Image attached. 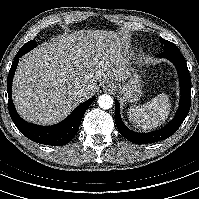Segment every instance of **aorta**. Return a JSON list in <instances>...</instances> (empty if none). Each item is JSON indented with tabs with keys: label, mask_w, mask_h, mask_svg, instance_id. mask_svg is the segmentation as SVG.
Returning <instances> with one entry per match:
<instances>
[{
	"label": "aorta",
	"mask_w": 199,
	"mask_h": 199,
	"mask_svg": "<svg viewBox=\"0 0 199 199\" xmlns=\"http://www.w3.org/2000/svg\"><path fill=\"white\" fill-rule=\"evenodd\" d=\"M113 98L108 94L100 95L98 98V105L101 109H110L113 106Z\"/></svg>",
	"instance_id": "1"
}]
</instances>
